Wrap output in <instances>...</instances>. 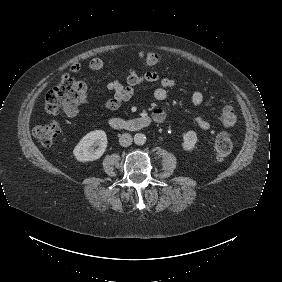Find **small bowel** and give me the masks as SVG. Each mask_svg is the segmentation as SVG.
<instances>
[{
  "label": "small bowel",
  "mask_w": 282,
  "mask_h": 282,
  "mask_svg": "<svg viewBox=\"0 0 282 282\" xmlns=\"http://www.w3.org/2000/svg\"><path fill=\"white\" fill-rule=\"evenodd\" d=\"M104 62L101 58H93L89 61L88 67L90 70L98 71L102 69ZM81 69L79 63H74L70 67L72 73H77ZM146 83H157V86L153 90V97L157 101H165L168 98V91L176 86V82L170 78H161L158 73L148 72L143 75H139L136 72H130L127 77L126 84H123L120 80L115 79L108 83L107 88L111 92V96L104 100L103 107L107 110H117L125 102L130 100L135 94L136 90ZM190 103L193 105H199L203 101V94L200 91H193L189 96ZM163 112L162 110L154 111V114ZM65 113L69 117L77 115V107H68L65 109ZM164 113V112H163ZM159 117V115H155ZM162 122V121H159ZM196 126L201 130H208L210 128V122L203 116H197L195 118Z\"/></svg>",
  "instance_id": "obj_1"
}]
</instances>
